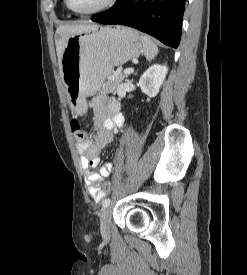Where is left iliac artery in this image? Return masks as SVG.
<instances>
[{
  "label": "left iliac artery",
  "instance_id": "1",
  "mask_svg": "<svg viewBox=\"0 0 247 275\" xmlns=\"http://www.w3.org/2000/svg\"><path fill=\"white\" fill-rule=\"evenodd\" d=\"M111 200L109 198H106L103 202H102V206L104 208L108 207L110 205Z\"/></svg>",
  "mask_w": 247,
  "mask_h": 275
}]
</instances>
